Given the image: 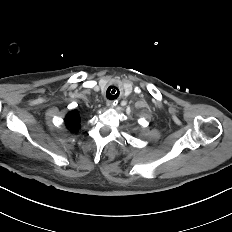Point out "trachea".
I'll return each instance as SVG.
<instances>
[{
  "mask_svg": "<svg viewBox=\"0 0 232 232\" xmlns=\"http://www.w3.org/2000/svg\"><path fill=\"white\" fill-rule=\"evenodd\" d=\"M119 94H120V90L116 86H110V87H108V89L106 91V97L109 100L116 99L119 96Z\"/></svg>",
  "mask_w": 232,
  "mask_h": 232,
  "instance_id": "trachea-1",
  "label": "trachea"
}]
</instances>
